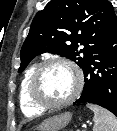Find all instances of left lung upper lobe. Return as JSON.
<instances>
[{
    "mask_svg": "<svg viewBox=\"0 0 117 131\" xmlns=\"http://www.w3.org/2000/svg\"><path fill=\"white\" fill-rule=\"evenodd\" d=\"M112 10L107 0H51L32 21L18 72L46 52L64 56L84 70L102 42Z\"/></svg>",
    "mask_w": 117,
    "mask_h": 131,
    "instance_id": "1",
    "label": "left lung upper lobe"
}]
</instances>
